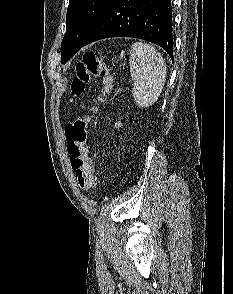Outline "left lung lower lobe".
I'll return each instance as SVG.
<instances>
[{
  "label": "left lung lower lobe",
  "mask_w": 233,
  "mask_h": 294,
  "mask_svg": "<svg viewBox=\"0 0 233 294\" xmlns=\"http://www.w3.org/2000/svg\"><path fill=\"white\" fill-rule=\"evenodd\" d=\"M119 36L155 43L174 61L171 0H110L83 46Z\"/></svg>",
  "instance_id": "obj_1"
}]
</instances>
